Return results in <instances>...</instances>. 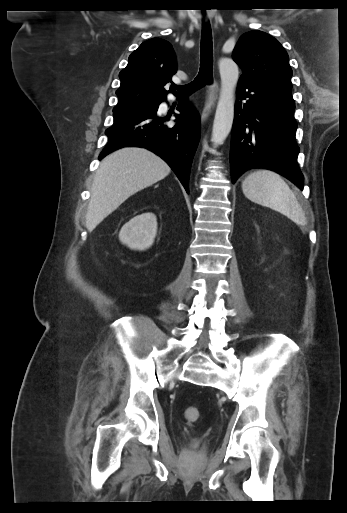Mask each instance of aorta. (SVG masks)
<instances>
[{"label":"aorta","instance_id":"obj_1","mask_svg":"<svg viewBox=\"0 0 347 513\" xmlns=\"http://www.w3.org/2000/svg\"><path fill=\"white\" fill-rule=\"evenodd\" d=\"M219 72L221 89L211 137L215 145L222 144L232 129L235 89L239 79L238 65L231 59L223 58L219 61Z\"/></svg>","mask_w":347,"mask_h":513}]
</instances>
